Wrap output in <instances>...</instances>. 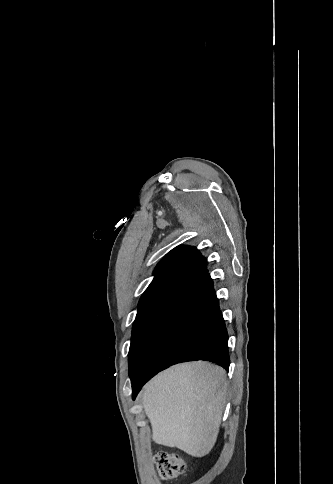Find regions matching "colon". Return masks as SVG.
<instances>
[{
	"instance_id": "1",
	"label": "colon",
	"mask_w": 333,
	"mask_h": 484,
	"mask_svg": "<svg viewBox=\"0 0 333 484\" xmlns=\"http://www.w3.org/2000/svg\"><path fill=\"white\" fill-rule=\"evenodd\" d=\"M155 464L160 477L166 480L177 478L186 471L185 461L179 455L170 452L162 451L156 454Z\"/></svg>"
}]
</instances>
